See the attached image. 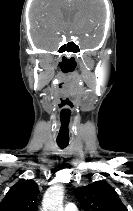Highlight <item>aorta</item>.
<instances>
[{
  "mask_svg": "<svg viewBox=\"0 0 133 211\" xmlns=\"http://www.w3.org/2000/svg\"><path fill=\"white\" fill-rule=\"evenodd\" d=\"M64 187L61 184L51 186L44 194L42 211H63Z\"/></svg>",
  "mask_w": 133,
  "mask_h": 211,
  "instance_id": "obj_1",
  "label": "aorta"
}]
</instances>
